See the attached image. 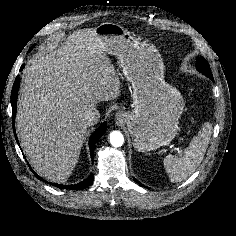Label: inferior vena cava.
Wrapping results in <instances>:
<instances>
[{
    "instance_id": "inferior-vena-cava-1",
    "label": "inferior vena cava",
    "mask_w": 236,
    "mask_h": 236,
    "mask_svg": "<svg viewBox=\"0 0 236 236\" xmlns=\"http://www.w3.org/2000/svg\"><path fill=\"white\" fill-rule=\"evenodd\" d=\"M100 118V113L96 108H88L83 113V122L86 126H92L98 123Z\"/></svg>"
}]
</instances>
